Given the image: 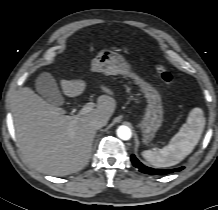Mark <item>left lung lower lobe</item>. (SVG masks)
I'll return each instance as SVG.
<instances>
[{
	"label": "left lung lower lobe",
	"mask_w": 218,
	"mask_h": 210,
	"mask_svg": "<svg viewBox=\"0 0 218 210\" xmlns=\"http://www.w3.org/2000/svg\"><path fill=\"white\" fill-rule=\"evenodd\" d=\"M131 161L133 165L138 168L142 173L150 174V175H166L169 173H173L175 171H180L184 167L178 169H153L143 165L134 155H131Z\"/></svg>",
	"instance_id": "0a47b994"
}]
</instances>
